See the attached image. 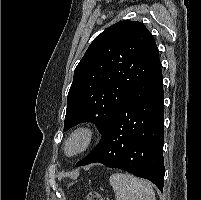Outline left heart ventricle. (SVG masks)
<instances>
[{
	"label": "left heart ventricle",
	"instance_id": "obj_1",
	"mask_svg": "<svg viewBox=\"0 0 201 200\" xmlns=\"http://www.w3.org/2000/svg\"><path fill=\"white\" fill-rule=\"evenodd\" d=\"M80 140L79 139H76L74 141H72L69 145V150L70 151H74L76 150L79 146H80Z\"/></svg>",
	"mask_w": 201,
	"mask_h": 200
}]
</instances>
